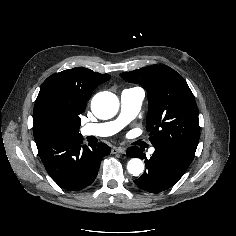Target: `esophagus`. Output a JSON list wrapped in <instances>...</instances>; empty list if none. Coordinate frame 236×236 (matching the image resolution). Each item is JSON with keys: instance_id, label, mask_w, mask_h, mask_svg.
<instances>
[{"instance_id": "34e87169", "label": "esophagus", "mask_w": 236, "mask_h": 236, "mask_svg": "<svg viewBox=\"0 0 236 236\" xmlns=\"http://www.w3.org/2000/svg\"><path fill=\"white\" fill-rule=\"evenodd\" d=\"M125 148H123V147H113L112 149H111V153L112 154H117V153H120V154H124L125 153Z\"/></svg>"}]
</instances>
